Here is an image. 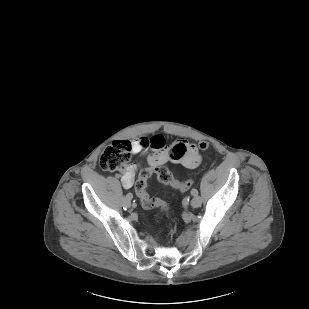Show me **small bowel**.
<instances>
[{
  "mask_svg": "<svg viewBox=\"0 0 309 309\" xmlns=\"http://www.w3.org/2000/svg\"><path fill=\"white\" fill-rule=\"evenodd\" d=\"M134 154H147V163L150 169L171 161L186 168H195L201 162L199 145L185 140L178 139L169 149L165 137L162 134H155L151 137L141 136L132 142ZM140 169L139 164H130L120 175L121 182L125 188L133 185L135 174Z\"/></svg>",
  "mask_w": 309,
  "mask_h": 309,
  "instance_id": "small-bowel-1",
  "label": "small bowel"
}]
</instances>
